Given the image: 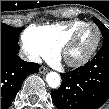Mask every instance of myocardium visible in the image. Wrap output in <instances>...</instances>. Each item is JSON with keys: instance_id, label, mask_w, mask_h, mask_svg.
I'll return each instance as SVG.
<instances>
[{"instance_id": "f54148a6", "label": "myocardium", "mask_w": 109, "mask_h": 109, "mask_svg": "<svg viewBox=\"0 0 109 109\" xmlns=\"http://www.w3.org/2000/svg\"><path fill=\"white\" fill-rule=\"evenodd\" d=\"M87 27H94L97 30V39H96L94 45L92 46V48L90 49V51L86 55H84L80 59L71 60L68 57V52L73 47V45L77 42L78 37L82 33V31ZM101 38H102V33H101V30L98 27V25H96L95 23H92V22H88V23H85V24L77 27L69 35V37L64 41V43L59 48V52L68 66L73 67V68H78V67L84 66L93 58V56L95 55V53L100 45Z\"/></svg>"}]
</instances>
